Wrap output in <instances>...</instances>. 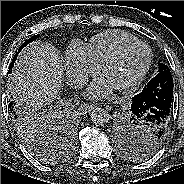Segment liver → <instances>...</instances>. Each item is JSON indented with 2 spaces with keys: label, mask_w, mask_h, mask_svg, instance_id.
Listing matches in <instances>:
<instances>
[{
  "label": "liver",
  "mask_w": 184,
  "mask_h": 184,
  "mask_svg": "<svg viewBox=\"0 0 184 184\" xmlns=\"http://www.w3.org/2000/svg\"><path fill=\"white\" fill-rule=\"evenodd\" d=\"M62 64L56 49L42 41L26 46L11 73L10 91L29 107L50 106L63 86Z\"/></svg>",
  "instance_id": "liver-1"
}]
</instances>
